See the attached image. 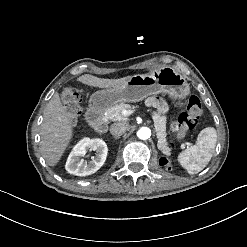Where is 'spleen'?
I'll return each instance as SVG.
<instances>
[{
	"instance_id": "3e777b00",
	"label": "spleen",
	"mask_w": 247,
	"mask_h": 247,
	"mask_svg": "<svg viewBox=\"0 0 247 247\" xmlns=\"http://www.w3.org/2000/svg\"><path fill=\"white\" fill-rule=\"evenodd\" d=\"M199 144L182 151L179 161L189 174L201 172L212 158L217 142V131L213 127L204 128L198 136Z\"/></svg>"
}]
</instances>
